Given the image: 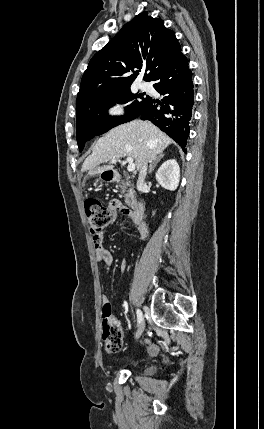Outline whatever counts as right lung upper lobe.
<instances>
[{"label": "right lung upper lobe", "instance_id": "1", "mask_svg": "<svg viewBox=\"0 0 264 429\" xmlns=\"http://www.w3.org/2000/svg\"><path fill=\"white\" fill-rule=\"evenodd\" d=\"M181 51L174 32L161 19L142 12L125 24L89 62L81 80L76 107L127 88L146 65L151 79ZM133 74L125 77L127 72Z\"/></svg>", "mask_w": 264, "mask_h": 429}]
</instances>
